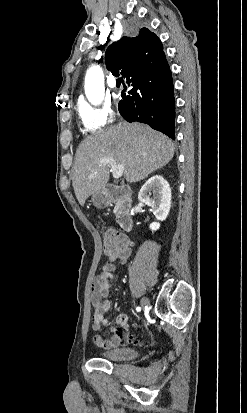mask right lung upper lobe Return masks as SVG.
<instances>
[{
	"mask_svg": "<svg viewBox=\"0 0 247 413\" xmlns=\"http://www.w3.org/2000/svg\"><path fill=\"white\" fill-rule=\"evenodd\" d=\"M160 39L146 28L135 37H122L106 50L105 63L113 74L119 71L127 78L142 75L165 63Z\"/></svg>",
	"mask_w": 247,
	"mask_h": 413,
	"instance_id": "obj_1",
	"label": "right lung upper lobe"
}]
</instances>
